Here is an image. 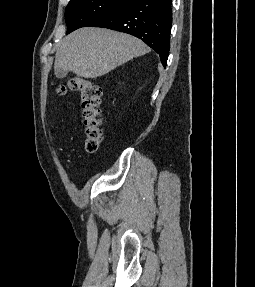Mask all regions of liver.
Returning a JSON list of instances; mask_svg holds the SVG:
<instances>
[{"label": "liver", "mask_w": 255, "mask_h": 287, "mask_svg": "<svg viewBox=\"0 0 255 287\" xmlns=\"http://www.w3.org/2000/svg\"><path fill=\"white\" fill-rule=\"evenodd\" d=\"M148 52L150 48L142 40L129 34L103 28H80L61 40L55 68L74 72L81 78H98Z\"/></svg>", "instance_id": "1"}]
</instances>
